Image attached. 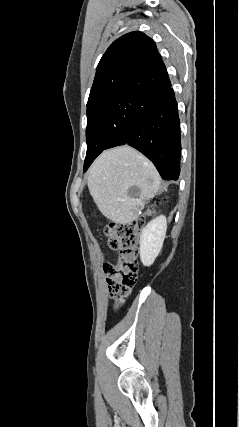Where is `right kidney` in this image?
Here are the masks:
<instances>
[{
  "instance_id": "1",
  "label": "right kidney",
  "mask_w": 239,
  "mask_h": 427,
  "mask_svg": "<svg viewBox=\"0 0 239 427\" xmlns=\"http://www.w3.org/2000/svg\"><path fill=\"white\" fill-rule=\"evenodd\" d=\"M167 221L161 215L143 229L140 235V258L144 266H150L158 256L166 236Z\"/></svg>"
}]
</instances>
